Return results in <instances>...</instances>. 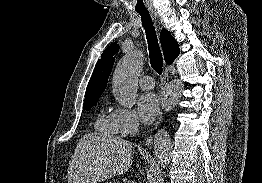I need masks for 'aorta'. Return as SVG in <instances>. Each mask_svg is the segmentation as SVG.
<instances>
[{"instance_id": "aorta-1", "label": "aorta", "mask_w": 262, "mask_h": 183, "mask_svg": "<svg viewBox=\"0 0 262 183\" xmlns=\"http://www.w3.org/2000/svg\"><path fill=\"white\" fill-rule=\"evenodd\" d=\"M143 66V54L134 51L126 55L116 66L113 79V94L118 103L125 108H132L137 98V76ZM184 84L181 80L170 82L161 96V105L165 111L172 110L180 101ZM155 156L161 167L170 161L171 139L165 129H160L154 138Z\"/></svg>"}]
</instances>
